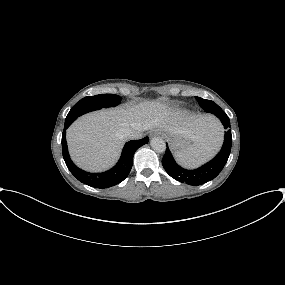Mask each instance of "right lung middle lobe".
Wrapping results in <instances>:
<instances>
[{
    "instance_id": "dd1d6c3e",
    "label": "right lung middle lobe",
    "mask_w": 285,
    "mask_h": 285,
    "mask_svg": "<svg viewBox=\"0 0 285 285\" xmlns=\"http://www.w3.org/2000/svg\"><path fill=\"white\" fill-rule=\"evenodd\" d=\"M120 103V97L115 94H100L95 96H87L78 101L69 111L65 125H70L79 116L90 111L101 108L116 106Z\"/></svg>"
}]
</instances>
